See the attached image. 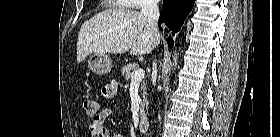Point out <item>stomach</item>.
I'll list each match as a JSON object with an SVG mask.
<instances>
[{
    "mask_svg": "<svg viewBox=\"0 0 280 137\" xmlns=\"http://www.w3.org/2000/svg\"><path fill=\"white\" fill-rule=\"evenodd\" d=\"M88 67L97 75H106L112 68V61L106 54L94 53L89 57Z\"/></svg>",
    "mask_w": 280,
    "mask_h": 137,
    "instance_id": "obj_1",
    "label": "stomach"
}]
</instances>
